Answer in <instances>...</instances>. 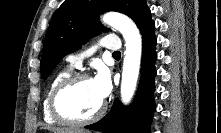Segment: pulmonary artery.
Returning a JSON list of instances; mask_svg holds the SVG:
<instances>
[{"label":"pulmonary artery","mask_w":221,"mask_h":133,"mask_svg":"<svg viewBox=\"0 0 221 133\" xmlns=\"http://www.w3.org/2000/svg\"><path fill=\"white\" fill-rule=\"evenodd\" d=\"M101 47L108 51H119L121 48V42L114 35H106L99 43ZM91 51H85L79 54H72L67 56V61L71 67L79 68L82 65V61L85 57H88Z\"/></svg>","instance_id":"pulmonary-artery-1"}]
</instances>
